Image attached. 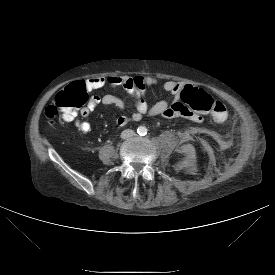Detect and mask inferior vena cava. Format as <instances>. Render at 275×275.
I'll return each instance as SVG.
<instances>
[{
  "label": "inferior vena cava",
  "instance_id": "inferior-vena-cava-1",
  "mask_svg": "<svg viewBox=\"0 0 275 275\" xmlns=\"http://www.w3.org/2000/svg\"><path fill=\"white\" fill-rule=\"evenodd\" d=\"M134 135V131L131 130V129H126L124 131H122L121 133V138L122 139H127V138H130Z\"/></svg>",
  "mask_w": 275,
  "mask_h": 275
}]
</instances>
